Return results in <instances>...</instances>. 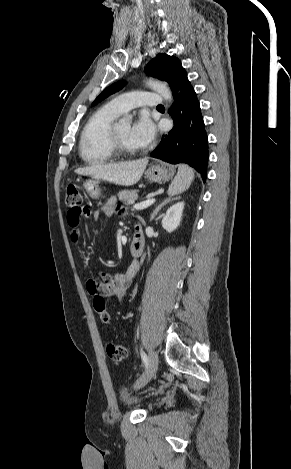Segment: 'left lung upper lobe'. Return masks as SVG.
Listing matches in <instances>:
<instances>
[{"label":"left lung upper lobe","instance_id":"left-lung-upper-lobe-1","mask_svg":"<svg viewBox=\"0 0 291 469\" xmlns=\"http://www.w3.org/2000/svg\"><path fill=\"white\" fill-rule=\"evenodd\" d=\"M146 73L156 77L160 80H164L169 83L171 90L179 80V78L185 73V69L182 67L181 62L174 56L167 54H158L146 67ZM125 82H117L108 88H106L92 103L97 104L109 95L120 90Z\"/></svg>","mask_w":291,"mask_h":469}]
</instances>
